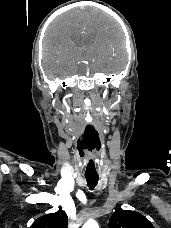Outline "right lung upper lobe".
<instances>
[{"mask_svg":"<svg viewBox=\"0 0 171 228\" xmlns=\"http://www.w3.org/2000/svg\"><path fill=\"white\" fill-rule=\"evenodd\" d=\"M67 220L66 213L59 209L56 213L41 216L30 228H67Z\"/></svg>","mask_w":171,"mask_h":228,"instance_id":"cb5924a9","label":"right lung upper lobe"}]
</instances>
